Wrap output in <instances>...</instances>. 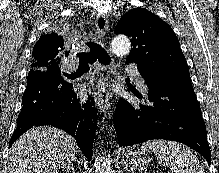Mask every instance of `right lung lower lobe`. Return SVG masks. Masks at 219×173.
I'll return each instance as SVG.
<instances>
[{
  "mask_svg": "<svg viewBox=\"0 0 219 173\" xmlns=\"http://www.w3.org/2000/svg\"><path fill=\"white\" fill-rule=\"evenodd\" d=\"M77 93L78 89L56 71L29 72L23 107L9 147L31 127L52 125L73 136L85 157L91 160L97 111L91 96L80 102Z\"/></svg>",
  "mask_w": 219,
  "mask_h": 173,
  "instance_id": "98d812e1",
  "label": "right lung lower lobe"
}]
</instances>
